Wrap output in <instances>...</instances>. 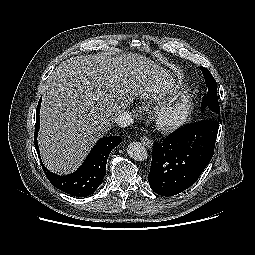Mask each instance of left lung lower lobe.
Instances as JSON below:
<instances>
[{
	"mask_svg": "<svg viewBox=\"0 0 255 255\" xmlns=\"http://www.w3.org/2000/svg\"><path fill=\"white\" fill-rule=\"evenodd\" d=\"M219 124L202 120L187 124L161 145L153 147L148 181L151 189L162 196H173L193 185L209 164Z\"/></svg>",
	"mask_w": 255,
	"mask_h": 255,
	"instance_id": "0a47b994",
	"label": "left lung lower lobe"
}]
</instances>
